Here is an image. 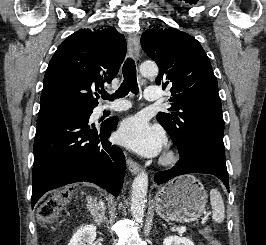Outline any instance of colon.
Instances as JSON below:
<instances>
[{
	"label": "colon",
	"mask_w": 266,
	"mask_h": 245,
	"mask_svg": "<svg viewBox=\"0 0 266 245\" xmlns=\"http://www.w3.org/2000/svg\"><path fill=\"white\" fill-rule=\"evenodd\" d=\"M65 202V198L62 195L52 196L46 199L39 208L40 218L49 223L58 213ZM202 235L205 236L210 245H221L220 241L212 235V232L209 228H204L202 231Z\"/></svg>",
	"instance_id": "colon-1"
}]
</instances>
